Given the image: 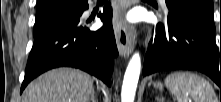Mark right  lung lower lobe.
<instances>
[{
  "instance_id": "right-lung-lower-lobe-1",
  "label": "right lung lower lobe",
  "mask_w": 221,
  "mask_h": 102,
  "mask_svg": "<svg viewBox=\"0 0 221 102\" xmlns=\"http://www.w3.org/2000/svg\"><path fill=\"white\" fill-rule=\"evenodd\" d=\"M86 9L87 0H81L76 13L34 35L20 93L41 73L61 66L80 68L111 85L113 58L118 55L111 4H105L103 13H99L104 25L97 31H90L80 20Z\"/></svg>"
}]
</instances>
